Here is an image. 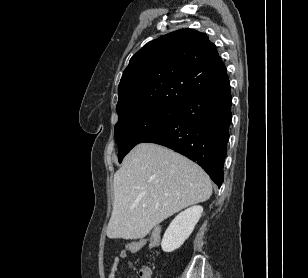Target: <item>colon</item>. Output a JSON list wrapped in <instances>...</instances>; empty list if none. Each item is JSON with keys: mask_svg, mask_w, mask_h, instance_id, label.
<instances>
[{"mask_svg": "<svg viewBox=\"0 0 308 278\" xmlns=\"http://www.w3.org/2000/svg\"><path fill=\"white\" fill-rule=\"evenodd\" d=\"M165 234V230H162L161 227H154L152 235L148 237L149 245L151 247H159L161 242L158 240V237H165ZM143 244V240H129L127 243H124L123 248L127 250V253H138Z\"/></svg>", "mask_w": 308, "mask_h": 278, "instance_id": "obj_1", "label": "colon"}]
</instances>
